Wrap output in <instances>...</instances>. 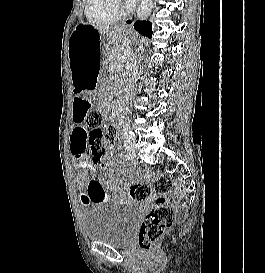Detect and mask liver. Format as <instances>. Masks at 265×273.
I'll list each match as a JSON object with an SVG mask.
<instances>
[{
  "instance_id": "obj_1",
  "label": "liver",
  "mask_w": 265,
  "mask_h": 273,
  "mask_svg": "<svg viewBox=\"0 0 265 273\" xmlns=\"http://www.w3.org/2000/svg\"><path fill=\"white\" fill-rule=\"evenodd\" d=\"M92 27L99 30L101 33H110V34H117L121 30V26L116 25L112 27L111 25H104V24H92Z\"/></svg>"
}]
</instances>
